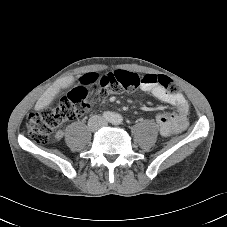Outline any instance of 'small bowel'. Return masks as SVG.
I'll return each instance as SVG.
<instances>
[{
	"instance_id": "obj_1",
	"label": "small bowel",
	"mask_w": 227,
	"mask_h": 227,
	"mask_svg": "<svg viewBox=\"0 0 227 227\" xmlns=\"http://www.w3.org/2000/svg\"><path fill=\"white\" fill-rule=\"evenodd\" d=\"M104 78L105 73L102 70H96L76 76L73 79V84L76 87H81L82 85H87L92 82L102 81ZM141 89L144 92L151 93L159 101L176 107V111L173 113L157 114L156 123L161 135L171 136L187 128L189 104L181 93H169L160 85L142 84ZM57 137L60 138L61 133H58Z\"/></svg>"
}]
</instances>
